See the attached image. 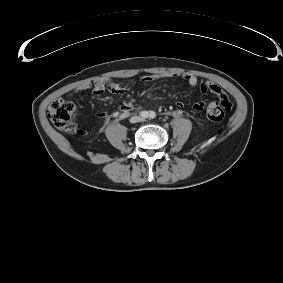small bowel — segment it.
<instances>
[{
  "label": "small bowel",
  "mask_w": 283,
  "mask_h": 283,
  "mask_svg": "<svg viewBox=\"0 0 283 283\" xmlns=\"http://www.w3.org/2000/svg\"><path fill=\"white\" fill-rule=\"evenodd\" d=\"M175 77H181L191 87H196L199 84L198 78L193 74L185 73L181 75H175ZM160 78L161 76L151 75V76L144 77L143 80L145 82H149V81H154ZM88 89H91L92 95L95 97L101 96L106 91L112 94H116V95H125L129 93L131 89V85L130 84L120 85V84H117L115 82H112L106 79H96L93 82H89V83L79 86L77 89H75L74 93H77L83 90H88ZM200 91L203 94L206 92H211L212 94L217 96L219 100H223L222 96L226 95L225 92L218 85L211 83V82H205V83L200 84ZM176 104L179 108H182L184 106L182 102H177ZM205 107H206V103L204 101L196 102L193 105V109L197 112L204 110ZM139 108H140L139 105H134L131 102H125L120 107L119 114L121 116H126L132 110L139 109ZM114 114L118 115V112ZM98 116L101 118H108L110 114L108 112H101L98 114Z\"/></svg>",
  "instance_id": "obj_1"
}]
</instances>
